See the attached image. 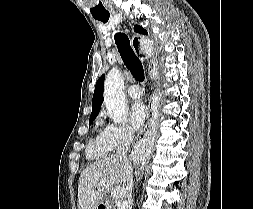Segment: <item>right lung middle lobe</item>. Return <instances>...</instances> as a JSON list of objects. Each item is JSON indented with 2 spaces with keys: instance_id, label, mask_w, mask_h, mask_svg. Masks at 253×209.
I'll list each match as a JSON object with an SVG mask.
<instances>
[{
  "instance_id": "1",
  "label": "right lung middle lobe",
  "mask_w": 253,
  "mask_h": 209,
  "mask_svg": "<svg viewBox=\"0 0 253 209\" xmlns=\"http://www.w3.org/2000/svg\"><path fill=\"white\" fill-rule=\"evenodd\" d=\"M95 118L89 120V125L92 124Z\"/></svg>"
}]
</instances>
